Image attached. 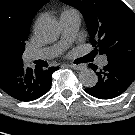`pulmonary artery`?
<instances>
[{"mask_svg": "<svg viewBox=\"0 0 135 135\" xmlns=\"http://www.w3.org/2000/svg\"><path fill=\"white\" fill-rule=\"evenodd\" d=\"M59 22L61 26L60 41L56 45L48 48L27 51L25 53L26 60L33 61L37 59H50L56 57L74 41L80 26L79 14L77 12L62 13L60 15ZM100 64H107L105 56L101 57Z\"/></svg>", "mask_w": 135, "mask_h": 135, "instance_id": "pulmonary-artery-1", "label": "pulmonary artery"}]
</instances>
